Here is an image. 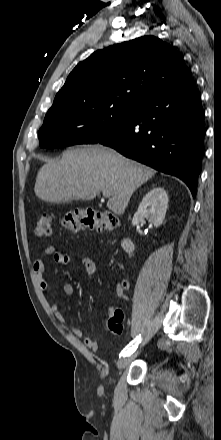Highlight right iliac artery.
Listing matches in <instances>:
<instances>
[{
    "label": "right iliac artery",
    "instance_id": "82829eb1",
    "mask_svg": "<svg viewBox=\"0 0 221 440\" xmlns=\"http://www.w3.org/2000/svg\"><path fill=\"white\" fill-rule=\"evenodd\" d=\"M141 342V337H136L130 344L120 353V356H130L134 353Z\"/></svg>",
    "mask_w": 221,
    "mask_h": 440
}]
</instances>
